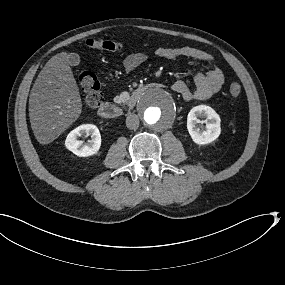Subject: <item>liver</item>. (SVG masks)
Masks as SVG:
<instances>
[{
	"instance_id": "liver-1",
	"label": "liver",
	"mask_w": 285,
	"mask_h": 285,
	"mask_svg": "<svg viewBox=\"0 0 285 285\" xmlns=\"http://www.w3.org/2000/svg\"><path fill=\"white\" fill-rule=\"evenodd\" d=\"M66 52L56 54L39 73L29 96V118L40 144H49L82 112L79 88Z\"/></svg>"
}]
</instances>
